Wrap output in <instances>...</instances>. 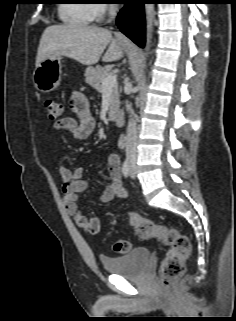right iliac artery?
Returning <instances> with one entry per match:
<instances>
[{
  "label": "right iliac artery",
  "instance_id": "1",
  "mask_svg": "<svg viewBox=\"0 0 236 321\" xmlns=\"http://www.w3.org/2000/svg\"><path fill=\"white\" fill-rule=\"evenodd\" d=\"M129 171H130L129 162L126 159L122 165V173L125 178H127L129 176Z\"/></svg>",
  "mask_w": 236,
  "mask_h": 321
}]
</instances>
